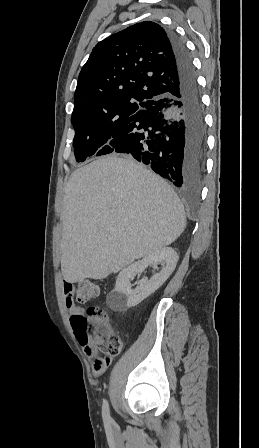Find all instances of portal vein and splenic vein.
I'll return each mask as SVG.
<instances>
[{"instance_id": "portal-vein-and-splenic-vein-1", "label": "portal vein and splenic vein", "mask_w": 259, "mask_h": 448, "mask_svg": "<svg viewBox=\"0 0 259 448\" xmlns=\"http://www.w3.org/2000/svg\"><path fill=\"white\" fill-rule=\"evenodd\" d=\"M110 214H113V210H111Z\"/></svg>"}]
</instances>
